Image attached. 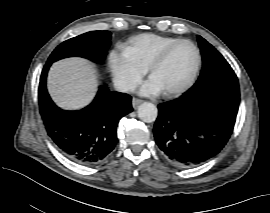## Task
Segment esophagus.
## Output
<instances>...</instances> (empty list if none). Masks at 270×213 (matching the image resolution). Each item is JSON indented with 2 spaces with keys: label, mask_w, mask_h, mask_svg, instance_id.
<instances>
[{
  "label": "esophagus",
  "mask_w": 270,
  "mask_h": 213,
  "mask_svg": "<svg viewBox=\"0 0 270 213\" xmlns=\"http://www.w3.org/2000/svg\"><path fill=\"white\" fill-rule=\"evenodd\" d=\"M142 102H143L142 99H139V98H136V97H134L132 99V105H133L134 108L138 107V105L141 104Z\"/></svg>",
  "instance_id": "obj_1"
}]
</instances>
